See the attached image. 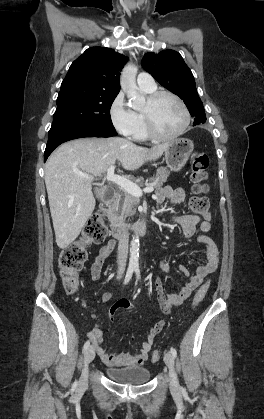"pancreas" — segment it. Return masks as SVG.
Masks as SVG:
<instances>
[{"label":"pancreas","mask_w":264,"mask_h":419,"mask_svg":"<svg viewBox=\"0 0 264 419\" xmlns=\"http://www.w3.org/2000/svg\"><path fill=\"white\" fill-rule=\"evenodd\" d=\"M170 174V171L165 167H160L156 176L150 178V186H153L155 189H160L167 181V178ZM142 185V183H140ZM140 203V199L136 196L129 194L126 191H123L121 198L114 205V210L117 215L118 220H124L126 217H131L136 212V206Z\"/></svg>","instance_id":"pancreas-1"}]
</instances>
